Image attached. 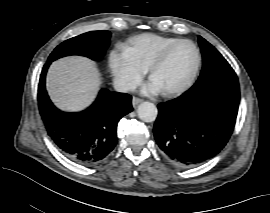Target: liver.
Here are the masks:
<instances>
[{
    "mask_svg": "<svg viewBox=\"0 0 270 213\" xmlns=\"http://www.w3.org/2000/svg\"><path fill=\"white\" fill-rule=\"evenodd\" d=\"M99 86L92 62L83 57H67L54 62L47 74V90L61 110L80 111L94 100Z\"/></svg>",
    "mask_w": 270,
    "mask_h": 213,
    "instance_id": "6515ba94",
    "label": "liver"
}]
</instances>
